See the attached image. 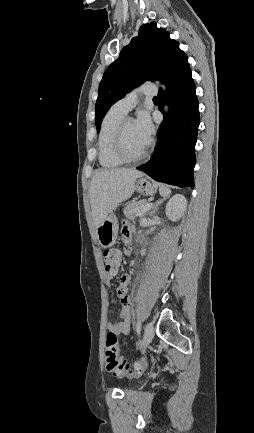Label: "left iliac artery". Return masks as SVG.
I'll list each match as a JSON object with an SVG mask.
<instances>
[{"label":"left iliac artery","mask_w":254,"mask_h":433,"mask_svg":"<svg viewBox=\"0 0 254 433\" xmlns=\"http://www.w3.org/2000/svg\"><path fill=\"white\" fill-rule=\"evenodd\" d=\"M140 331H141V324H140V322H138L136 324V332H137L138 335L140 334Z\"/></svg>","instance_id":"44dca946"}]
</instances>
